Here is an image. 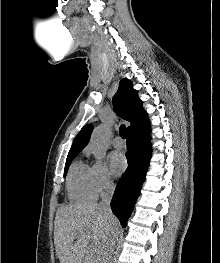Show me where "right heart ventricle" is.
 I'll use <instances>...</instances> for the list:
<instances>
[{
  "instance_id": "obj_1",
  "label": "right heart ventricle",
  "mask_w": 220,
  "mask_h": 263,
  "mask_svg": "<svg viewBox=\"0 0 220 263\" xmlns=\"http://www.w3.org/2000/svg\"><path fill=\"white\" fill-rule=\"evenodd\" d=\"M67 191L70 200L75 202L94 201L97 197L91 167L81 160L75 161L69 169Z\"/></svg>"
}]
</instances>
